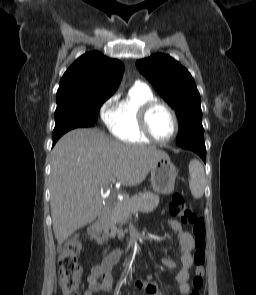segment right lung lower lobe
I'll list each match as a JSON object with an SVG mask.
<instances>
[{
  "mask_svg": "<svg viewBox=\"0 0 256 295\" xmlns=\"http://www.w3.org/2000/svg\"><path fill=\"white\" fill-rule=\"evenodd\" d=\"M96 123V121L94 120H88L87 125L85 127H91L94 126ZM64 133H60V134H55L53 135V145L57 142V140L63 135Z\"/></svg>",
  "mask_w": 256,
  "mask_h": 295,
  "instance_id": "1",
  "label": "right lung lower lobe"
}]
</instances>
